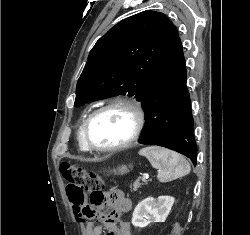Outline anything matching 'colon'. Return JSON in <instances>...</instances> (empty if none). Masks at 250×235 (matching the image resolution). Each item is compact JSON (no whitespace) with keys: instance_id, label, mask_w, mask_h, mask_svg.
I'll list each match as a JSON object with an SVG mask.
<instances>
[{"instance_id":"colon-1","label":"colon","mask_w":250,"mask_h":235,"mask_svg":"<svg viewBox=\"0 0 250 235\" xmlns=\"http://www.w3.org/2000/svg\"><path fill=\"white\" fill-rule=\"evenodd\" d=\"M61 171L67 182V195L74 206H81L89 198L91 208L101 206L107 201L102 178L96 173L84 170L80 165L64 162ZM92 211L89 218L95 217Z\"/></svg>"}]
</instances>
